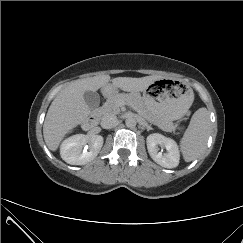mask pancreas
<instances>
[{
	"label": "pancreas",
	"mask_w": 243,
	"mask_h": 243,
	"mask_svg": "<svg viewBox=\"0 0 243 243\" xmlns=\"http://www.w3.org/2000/svg\"><path fill=\"white\" fill-rule=\"evenodd\" d=\"M123 101L134 103L136 105V108H137L139 114H141L146 120L153 123L154 125H157L161 129H163L165 131H169L174 128L172 122H167V121L159 119L158 117H156L155 115L150 113L144 107V105L141 103V101H139L136 97H133L130 95H123V94L114 95L111 98H109L103 104V106L98 109V111L102 115H106L109 113L119 114L120 106Z\"/></svg>",
	"instance_id": "1"
}]
</instances>
